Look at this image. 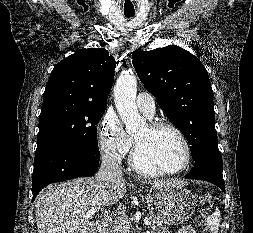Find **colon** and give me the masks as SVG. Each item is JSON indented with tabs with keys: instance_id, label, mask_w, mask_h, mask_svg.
<instances>
[{
	"instance_id": "colon-1",
	"label": "colon",
	"mask_w": 253,
	"mask_h": 233,
	"mask_svg": "<svg viewBox=\"0 0 253 233\" xmlns=\"http://www.w3.org/2000/svg\"><path fill=\"white\" fill-rule=\"evenodd\" d=\"M209 209H210V203L206 200H203L202 207H201V214L199 217V222L203 226L202 233H211V231L206 227V221H207Z\"/></svg>"
}]
</instances>
